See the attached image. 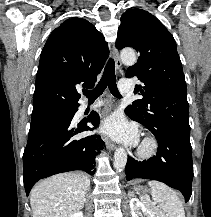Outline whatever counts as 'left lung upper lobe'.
Returning <instances> with one entry per match:
<instances>
[{
    "label": "left lung upper lobe",
    "mask_w": 211,
    "mask_h": 217,
    "mask_svg": "<svg viewBox=\"0 0 211 217\" xmlns=\"http://www.w3.org/2000/svg\"><path fill=\"white\" fill-rule=\"evenodd\" d=\"M116 48L133 47L139 53L126 77H138L134 93L143 96L126 110L151 131L171 130L190 136L189 106L182 64L173 36L152 14L142 9L121 16Z\"/></svg>",
    "instance_id": "left-lung-upper-lobe-1"
}]
</instances>
